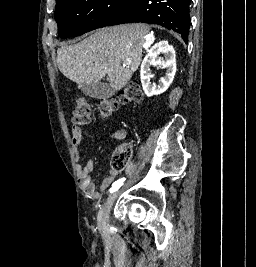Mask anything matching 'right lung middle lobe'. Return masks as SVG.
Returning <instances> with one entry per match:
<instances>
[{"mask_svg":"<svg viewBox=\"0 0 256 267\" xmlns=\"http://www.w3.org/2000/svg\"><path fill=\"white\" fill-rule=\"evenodd\" d=\"M137 0H59L55 20L60 37L80 36L103 27L121 13L127 12Z\"/></svg>","mask_w":256,"mask_h":267,"instance_id":"1","label":"right lung middle lobe"}]
</instances>
